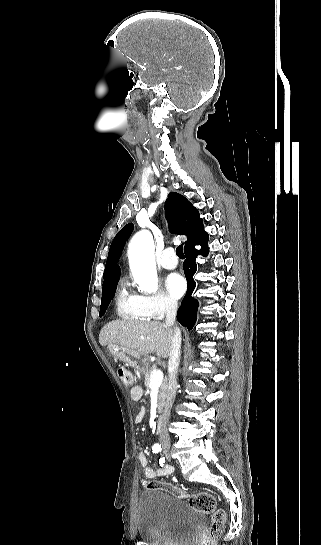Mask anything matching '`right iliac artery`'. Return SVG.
Masks as SVG:
<instances>
[{
	"label": "right iliac artery",
	"instance_id": "right-iliac-artery-1",
	"mask_svg": "<svg viewBox=\"0 0 321 545\" xmlns=\"http://www.w3.org/2000/svg\"><path fill=\"white\" fill-rule=\"evenodd\" d=\"M160 451H161V445L155 444V445L152 447V452H153V453H159Z\"/></svg>",
	"mask_w": 321,
	"mask_h": 545
}]
</instances>
